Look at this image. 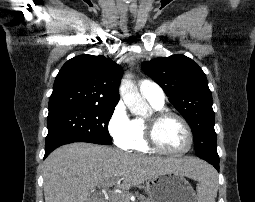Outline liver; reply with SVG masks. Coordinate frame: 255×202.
<instances>
[{
    "instance_id": "1",
    "label": "liver",
    "mask_w": 255,
    "mask_h": 202,
    "mask_svg": "<svg viewBox=\"0 0 255 202\" xmlns=\"http://www.w3.org/2000/svg\"><path fill=\"white\" fill-rule=\"evenodd\" d=\"M193 157H151L91 143H72L54 150L44 162L45 202H91L90 190L112 179L127 190L166 172L196 179Z\"/></svg>"
}]
</instances>
